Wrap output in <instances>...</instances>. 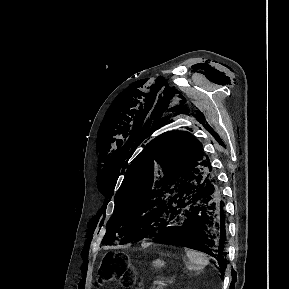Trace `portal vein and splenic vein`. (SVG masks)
<instances>
[{
	"mask_svg": "<svg viewBox=\"0 0 289 289\" xmlns=\"http://www.w3.org/2000/svg\"><path fill=\"white\" fill-rule=\"evenodd\" d=\"M164 286H165L164 281H159V282H158V287H159V288H163Z\"/></svg>",
	"mask_w": 289,
	"mask_h": 289,
	"instance_id": "obj_1",
	"label": "portal vein and splenic vein"
}]
</instances>
